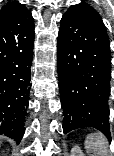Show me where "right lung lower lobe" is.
<instances>
[{
  "label": "right lung lower lobe",
  "instance_id": "obj_1",
  "mask_svg": "<svg viewBox=\"0 0 114 156\" xmlns=\"http://www.w3.org/2000/svg\"><path fill=\"white\" fill-rule=\"evenodd\" d=\"M34 38L26 8L0 20V134L17 142L25 131Z\"/></svg>",
  "mask_w": 114,
  "mask_h": 156
}]
</instances>
